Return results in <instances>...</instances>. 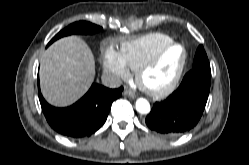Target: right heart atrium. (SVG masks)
<instances>
[{
  "label": "right heart atrium",
  "mask_w": 249,
  "mask_h": 165,
  "mask_svg": "<svg viewBox=\"0 0 249 165\" xmlns=\"http://www.w3.org/2000/svg\"><path fill=\"white\" fill-rule=\"evenodd\" d=\"M103 67L107 73L116 79H127L130 75V69L120 53L112 48H108L104 52Z\"/></svg>",
  "instance_id": "d8ad5b80"
}]
</instances>
